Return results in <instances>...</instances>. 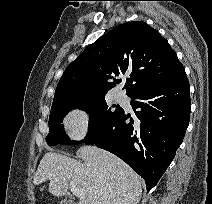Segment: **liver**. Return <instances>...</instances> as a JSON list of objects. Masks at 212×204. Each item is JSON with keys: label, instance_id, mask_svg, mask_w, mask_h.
Listing matches in <instances>:
<instances>
[{"label": "liver", "instance_id": "1", "mask_svg": "<svg viewBox=\"0 0 212 204\" xmlns=\"http://www.w3.org/2000/svg\"><path fill=\"white\" fill-rule=\"evenodd\" d=\"M77 155L84 163L59 153H46L34 175V184L49 180V192L63 196L72 181L84 194L78 204L139 203L140 178L121 159L95 146L81 147Z\"/></svg>", "mask_w": 212, "mask_h": 204}]
</instances>
